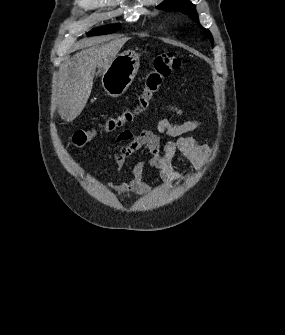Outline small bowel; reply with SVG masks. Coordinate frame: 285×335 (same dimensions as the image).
Segmentation results:
<instances>
[{
	"label": "small bowel",
	"mask_w": 285,
	"mask_h": 335,
	"mask_svg": "<svg viewBox=\"0 0 285 335\" xmlns=\"http://www.w3.org/2000/svg\"><path fill=\"white\" fill-rule=\"evenodd\" d=\"M164 109L181 117H187V112L177 104L169 103ZM201 123L198 120L187 118L180 124L170 122L165 118H158L156 127L159 133L177 138L174 142L161 144L159 136L149 129L125 130L118 134L116 142H127L120 147L114 156V161L120 169L126 168L127 158L138 151H145L151 155L150 159L137 163L130 170V177L112 188L120 196H143L147 193V185L143 179V170L150 166L160 171L161 177L167 183L179 181L181 177L177 174L174 160L181 155L194 167L202 168L209 155L210 149L199 144L189 134L198 130Z\"/></svg>",
	"instance_id": "small-bowel-1"
}]
</instances>
